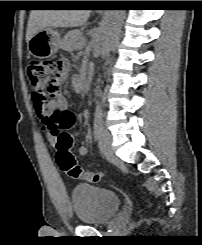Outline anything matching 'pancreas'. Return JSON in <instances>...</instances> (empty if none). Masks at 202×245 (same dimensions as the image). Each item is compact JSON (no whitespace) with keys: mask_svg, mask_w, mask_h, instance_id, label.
Returning <instances> with one entry per match:
<instances>
[{"mask_svg":"<svg viewBox=\"0 0 202 245\" xmlns=\"http://www.w3.org/2000/svg\"><path fill=\"white\" fill-rule=\"evenodd\" d=\"M82 41H83V37L80 31L73 30L68 32L64 36L60 47L64 50L72 51L74 49L82 47Z\"/></svg>","mask_w":202,"mask_h":245,"instance_id":"1","label":"pancreas"}]
</instances>
